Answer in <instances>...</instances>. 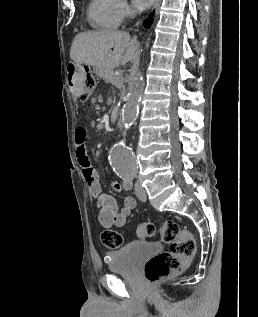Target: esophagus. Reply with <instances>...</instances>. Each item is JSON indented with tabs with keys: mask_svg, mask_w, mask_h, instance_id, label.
Masks as SVG:
<instances>
[{
	"mask_svg": "<svg viewBox=\"0 0 258 317\" xmlns=\"http://www.w3.org/2000/svg\"><path fill=\"white\" fill-rule=\"evenodd\" d=\"M161 0H156V3H155V8L159 6Z\"/></svg>",
	"mask_w": 258,
	"mask_h": 317,
	"instance_id": "obj_1",
	"label": "esophagus"
}]
</instances>
